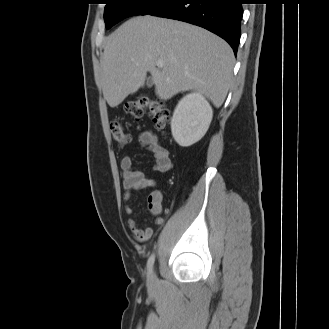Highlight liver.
<instances>
[{
    "mask_svg": "<svg viewBox=\"0 0 329 329\" xmlns=\"http://www.w3.org/2000/svg\"><path fill=\"white\" fill-rule=\"evenodd\" d=\"M158 61L164 63L162 68L157 67ZM234 63L228 43L201 27L138 16L106 38L101 86L108 105L117 107L144 86L150 72L160 99L197 90L219 108L228 93Z\"/></svg>",
    "mask_w": 329,
    "mask_h": 329,
    "instance_id": "1",
    "label": "liver"
}]
</instances>
